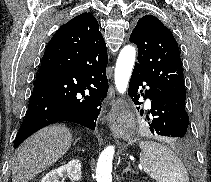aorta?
I'll return each instance as SVG.
<instances>
[{
  "label": "aorta",
  "mask_w": 211,
  "mask_h": 182,
  "mask_svg": "<svg viewBox=\"0 0 211 182\" xmlns=\"http://www.w3.org/2000/svg\"><path fill=\"white\" fill-rule=\"evenodd\" d=\"M135 57L136 49L131 45L124 46L119 53L114 80L116 89L120 94H124L127 90ZM114 153V146H108L101 152L96 168L97 182H112V160Z\"/></svg>",
  "instance_id": "1"
}]
</instances>
